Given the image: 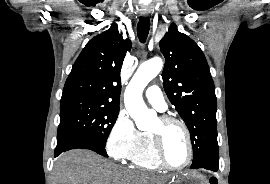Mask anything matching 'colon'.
Returning <instances> with one entry per match:
<instances>
[{
  "label": "colon",
  "instance_id": "5ec220e1",
  "mask_svg": "<svg viewBox=\"0 0 270 184\" xmlns=\"http://www.w3.org/2000/svg\"><path fill=\"white\" fill-rule=\"evenodd\" d=\"M209 184H218V181L216 178H210Z\"/></svg>",
  "mask_w": 270,
  "mask_h": 184
}]
</instances>
